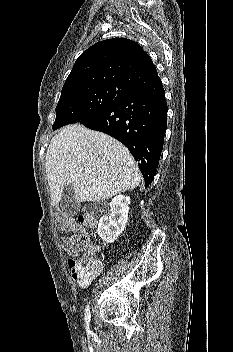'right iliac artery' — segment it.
Wrapping results in <instances>:
<instances>
[{"mask_svg":"<svg viewBox=\"0 0 233 352\" xmlns=\"http://www.w3.org/2000/svg\"><path fill=\"white\" fill-rule=\"evenodd\" d=\"M90 307L89 305L86 306L85 308V322H86V328H89V322H90Z\"/></svg>","mask_w":233,"mask_h":352,"instance_id":"obj_1","label":"right iliac artery"}]
</instances>
